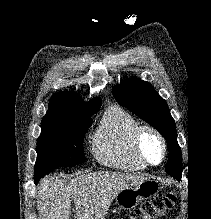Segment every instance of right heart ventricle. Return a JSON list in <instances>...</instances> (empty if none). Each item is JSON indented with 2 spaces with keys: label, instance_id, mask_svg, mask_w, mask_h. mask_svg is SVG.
I'll return each mask as SVG.
<instances>
[{
  "label": "right heart ventricle",
  "instance_id": "1",
  "mask_svg": "<svg viewBox=\"0 0 211 219\" xmlns=\"http://www.w3.org/2000/svg\"><path fill=\"white\" fill-rule=\"evenodd\" d=\"M139 126V121L123 108L112 106L107 109L91 140L95 159L123 171L145 169L146 165L138 159L133 148V138Z\"/></svg>",
  "mask_w": 211,
  "mask_h": 219
}]
</instances>
